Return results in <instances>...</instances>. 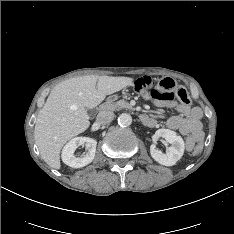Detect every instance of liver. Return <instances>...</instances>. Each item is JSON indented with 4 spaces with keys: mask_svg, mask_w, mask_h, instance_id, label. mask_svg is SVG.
<instances>
[{
    "mask_svg": "<svg viewBox=\"0 0 234 234\" xmlns=\"http://www.w3.org/2000/svg\"><path fill=\"white\" fill-rule=\"evenodd\" d=\"M132 81L131 77L86 75L55 86L35 124L34 138L42 159L59 169L63 145L90 126L87 109L95 108L106 95L120 91Z\"/></svg>",
    "mask_w": 234,
    "mask_h": 234,
    "instance_id": "1",
    "label": "liver"
}]
</instances>
